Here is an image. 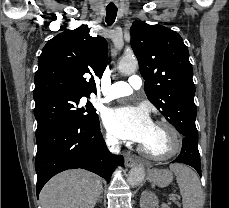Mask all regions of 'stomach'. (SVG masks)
<instances>
[{
	"label": "stomach",
	"instance_id": "1",
	"mask_svg": "<svg viewBox=\"0 0 229 208\" xmlns=\"http://www.w3.org/2000/svg\"><path fill=\"white\" fill-rule=\"evenodd\" d=\"M147 178L150 182L159 186V188H165V186L171 184L173 174L169 170H149Z\"/></svg>",
	"mask_w": 229,
	"mask_h": 208
}]
</instances>
